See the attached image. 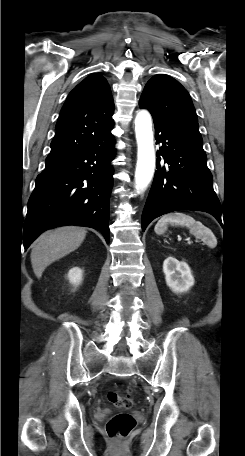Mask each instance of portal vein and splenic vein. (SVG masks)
Here are the masks:
<instances>
[{"instance_id": "obj_1", "label": "portal vein and splenic vein", "mask_w": 245, "mask_h": 456, "mask_svg": "<svg viewBox=\"0 0 245 456\" xmlns=\"http://www.w3.org/2000/svg\"><path fill=\"white\" fill-rule=\"evenodd\" d=\"M188 243L190 244V243H191V241H190V240H188Z\"/></svg>"}]
</instances>
